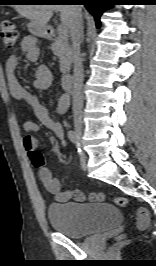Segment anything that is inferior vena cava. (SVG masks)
<instances>
[{"mask_svg": "<svg viewBox=\"0 0 156 266\" xmlns=\"http://www.w3.org/2000/svg\"><path fill=\"white\" fill-rule=\"evenodd\" d=\"M73 17L70 27V36L72 40L73 53V77H72V98H73V117L75 122L82 120L83 108V66L80 55L81 35H82V17L81 9L78 5H72Z\"/></svg>", "mask_w": 156, "mask_h": 266, "instance_id": "inferior-vena-cava-1", "label": "inferior vena cava"}]
</instances>
